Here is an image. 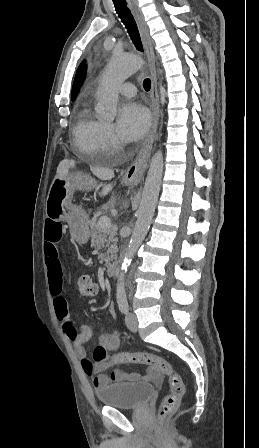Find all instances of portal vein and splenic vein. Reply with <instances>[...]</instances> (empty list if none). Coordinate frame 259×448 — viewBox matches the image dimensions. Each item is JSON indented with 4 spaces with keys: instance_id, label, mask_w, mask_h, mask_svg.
Here are the masks:
<instances>
[{
    "instance_id": "obj_1",
    "label": "portal vein and splenic vein",
    "mask_w": 259,
    "mask_h": 448,
    "mask_svg": "<svg viewBox=\"0 0 259 448\" xmlns=\"http://www.w3.org/2000/svg\"><path fill=\"white\" fill-rule=\"evenodd\" d=\"M98 224L101 230H107V228H110L111 226L110 218H108V216H101V218H99Z\"/></svg>"
}]
</instances>
